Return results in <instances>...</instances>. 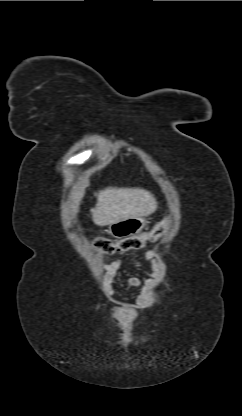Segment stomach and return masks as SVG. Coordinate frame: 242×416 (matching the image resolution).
I'll use <instances>...</instances> for the list:
<instances>
[{"instance_id": "0dacf381", "label": "stomach", "mask_w": 242, "mask_h": 416, "mask_svg": "<svg viewBox=\"0 0 242 416\" xmlns=\"http://www.w3.org/2000/svg\"><path fill=\"white\" fill-rule=\"evenodd\" d=\"M147 223L144 217L124 219L110 224L108 232L114 238H127L140 233Z\"/></svg>"}]
</instances>
